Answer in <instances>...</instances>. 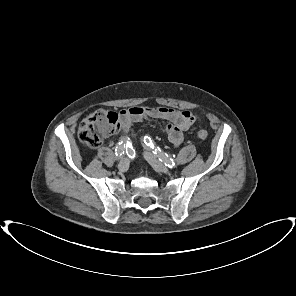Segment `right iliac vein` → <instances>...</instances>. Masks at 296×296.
<instances>
[{
    "label": "right iliac vein",
    "mask_w": 296,
    "mask_h": 296,
    "mask_svg": "<svg viewBox=\"0 0 296 296\" xmlns=\"http://www.w3.org/2000/svg\"><path fill=\"white\" fill-rule=\"evenodd\" d=\"M128 167H129V160L127 158L121 159L118 164V169L124 172L128 169Z\"/></svg>",
    "instance_id": "obj_1"
}]
</instances>
